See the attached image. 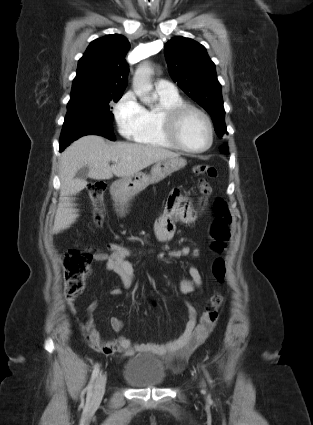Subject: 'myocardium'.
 <instances>
[{"label":"myocardium","instance_id":"obj_1","mask_svg":"<svg viewBox=\"0 0 313 425\" xmlns=\"http://www.w3.org/2000/svg\"><path fill=\"white\" fill-rule=\"evenodd\" d=\"M192 113L198 114L204 119L208 128V133H209L208 143L204 147L199 149H192L186 146L180 136L181 126L184 119ZM161 121H162V126H163L166 137L178 149L184 152L192 153V154L203 153L207 151L208 149H210L211 146L213 145L214 127H213L212 120L205 111H203L202 109L196 106H193L190 104H181L179 106L166 109L161 114Z\"/></svg>","mask_w":313,"mask_h":425}]
</instances>
